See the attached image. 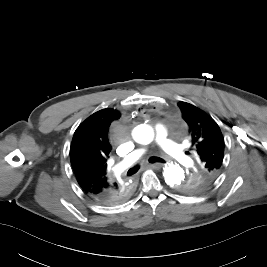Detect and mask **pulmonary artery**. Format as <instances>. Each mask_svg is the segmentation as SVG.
I'll return each instance as SVG.
<instances>
[{
	"instance_id": "obj_1",
	"label": "pulmonary artery",
	"mask_w": 267,
	"mask_h": 267,
	"mask_svg": "<svg viewBox=\"0 0 267 267\" xmlns=\"http://www.w3.org/2000/svg\"><path fill=\"white\" fill-rule=\"evenodd\" d=\"M156 141L158 145L172 158L186 162L187 157L182 151V148L175 142L168 139V133L164 126L158 125L156 127ZM145 149H137L128 154L117 166V170L123 171L136 162L142 155L145 154Z\"/></svg>"
}]
</instances>
